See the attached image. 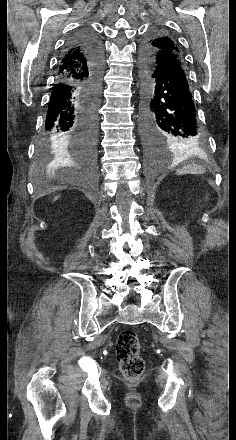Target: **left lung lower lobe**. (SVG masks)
Masks as SVG:
<instances>
[{"label": "left lung lower lobe", "mask_w": 236, "mask_h": 440, "mask_svg": "<svg viewBox=\"0 0 236 440\" xmlns=\"http://www.w3.org/2000/svg\"><path fill=\"white\" fill-rule=\"evenodd\" d=\"M143 64L145 95L142 104V136L155 156L167 148L180 150L200 146L204 132L198 122L193 96L181 56Z\"/></svg>", "instance_id": "0a47b994"}]
</instances>
